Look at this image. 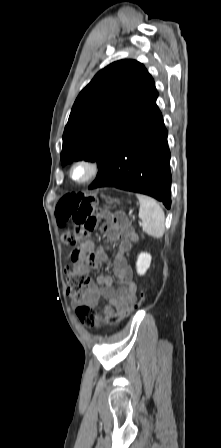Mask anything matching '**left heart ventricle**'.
Returning <instances> with one entry per match:
<instances>
[{
    "instance_id": "1",
    "label": "left heart ventricle",
    "mask_w": 221,
    "mask_h": 448,
    "mask_svg": "<svg viewBox=\"0 0 221 448\" xmlns=\"http://www.w3.org/2000/svg\"><path fill=\"white\" fill-rule=\"evenodd\" d=\"M87 175V170L84 168H77L74 171V176L78 179L84 178Z\"/></svg>"
}]
</instances>
